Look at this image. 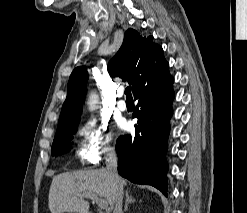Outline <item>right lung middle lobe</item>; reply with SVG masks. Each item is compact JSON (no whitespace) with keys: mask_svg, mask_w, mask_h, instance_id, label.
Returning <instances> with one entry per match:
<instances>
[{"mask_svg":"<svg viewBox=\"0 0 247 213\" xmlns=\"http://www.w3.org/2000/svg\"><path fill=\"white\" fill-rule=\"evenodd\" d=\"M77 126H69L58 129L52 144V154H64L70 150V141L75 133Z\"/></svg>","mask_w":247,"mask_h":213,"instance_id":"obj_1","label":"right lung middle lobe"}]
</instances>
